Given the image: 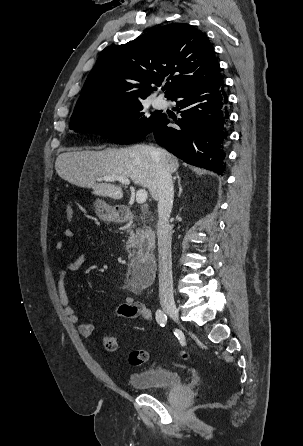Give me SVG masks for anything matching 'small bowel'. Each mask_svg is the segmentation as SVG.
I'll use <instances>...</instances> for the list:
<instances>
[{
	"label": "small bowel",
	"instance_id": "1",
	"mask_svg": "<svg viewBox=\"0 0 303 446\" xmlns=\"http://www.w3.org/2000/svg\"><path fill=\"white\" fill-rule=\"evenodd\" d=\"M65 240L71 241L76 237V233L73 229L67 228L63 232ZM65 242L59 240L55 244L57 250H63ZM88 261V255L83 253L72 261H67L63 264L62 269L59 271L58 277V296L60 305L68 319V321L76 325L77 331L84 339H90L94 333L95 325L93 323H80L78 315L72 307L69 299V295L66 290V277L69 271H77ZM132 296H128L125 300L119 304L115 309V316L118 318L135 319L142 318L147 321L153 319L152 311L138 300L141 290L136 289L134 286H128Z\"/></svg>",
	"mask_w": 303,
	"mask_h": 446
}]
</instances>
